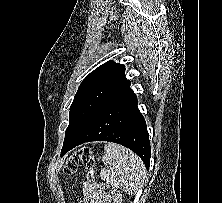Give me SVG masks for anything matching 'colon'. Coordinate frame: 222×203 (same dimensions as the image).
<instances>
[{"mask_svg":"<svg viewBox=\"0 0 222 203\" xmlns=\"http://www.w3.org/2000/svg\"><path fill=\"white\" fill-rule=\"evenodd\" d=\"M95 163V156L92 149L84 147L73 153V155L66 161L63 167V172L66 175H72L78 167L84 166L89 171V178H92ZM112 203H123L121 193L116 189L112 190Z\"/></svg>","mask_w":222,"mask_h":203,"instance_id":"obj_1","label":"colon"}]
</instances>
